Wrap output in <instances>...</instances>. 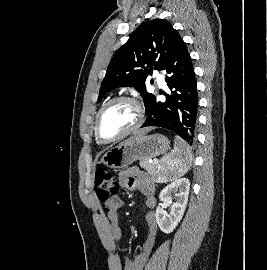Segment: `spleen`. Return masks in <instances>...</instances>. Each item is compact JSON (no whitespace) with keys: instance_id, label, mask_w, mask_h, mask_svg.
Listing matches in <instances>:
<instances>
[{"instance_id":"obj_1","label":"spleen","mask_w":267,"mask_h":270,"mask_svg":"<svg viewBox=\"0 0 267 270\" xmlns=\"http://www.w3.org/2000/svg\"><path fill=\"white\" fill-rule=\"evenodd\" d=\"M191 161L189 147L184 140L176 136L173 151L161 159L160 181L168 182L183 176L189 170Z\"/></svg>"}]
</instances>
